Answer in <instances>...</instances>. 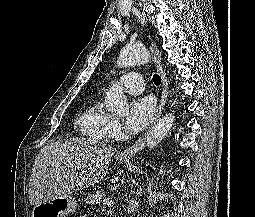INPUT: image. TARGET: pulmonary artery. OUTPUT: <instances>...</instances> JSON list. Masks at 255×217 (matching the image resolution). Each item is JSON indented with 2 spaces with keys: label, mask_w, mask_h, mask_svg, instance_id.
Instances as JSON below:
<instances>
[{
  "label": "pulmonary artery",
  "mask_w": 255,
  "mask_h": 217,
  "mask_svg": "<svg viewBox=\"0 0 255 217\" xmlns=\"http://www.w3.org/2000/svg\"><path fill=\"white\" fill-rule=\"evenodd\" d=\"M119 84L129 93L138 94L144 91V79L140 73L128 72L119 79Z\"/></svg>",
  "instance_id": "e3ab8cb5"
}]
</instances>
